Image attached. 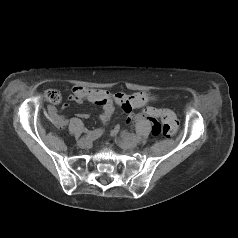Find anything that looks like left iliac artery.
<instances>
[{
	"label": "left iliac artery",
	"mask_w": 238,
	"mask_h": 238,
	"mask_svg": "<svg viewBox=\"0 0 238 238\" xmlns=\"http://www.w3.org/2000/svg\"><path fill=\"white\" fill-rule=\"evenodd\" d=\"M123 136H125L129 139H132V140H136V141L140 140V138L138 136H136L134 133H129V132H126V131H123Z\"/></svg>",
	"instance_id": "44dca946"
}]
</instances>
